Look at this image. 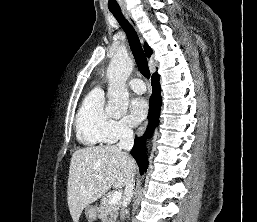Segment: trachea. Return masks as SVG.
Listing matches in <instances>:
<instances>
[{"mask_svg": "<svg viewBox=\"0 0 257 222\" xmlns=\"http://www.w3.org/2000/svg\"><path fill=\"white\" fill-rule=\"evenodd\" d=\"M110 11L127 35V39H128L131 51L133 53L134 59L136 61V64L140 73L144 77L150 78V70L148 67L147 58L142 49L139 37L135 29L130 24V22L124 17L121 10H110Z\"/></svg>", "mask_w": 257, "mask_h": 222, "instance_id": "trachea-1", "label": "trachea"}]
</instances>
